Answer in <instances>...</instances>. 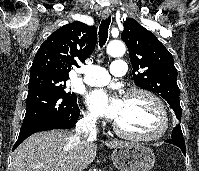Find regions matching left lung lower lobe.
I'll return each instance as SVG.
<instances>
[{"mask_svg": "<svg viewBox=\"0 0 199 171\" xmlns=\"http://www.w3.org/2000/svg\"><path fill=\"white\" fill-rule=\"evenodd\" d=\"M171 137L172 139L166 140L165 142L178 146L182 150V152L185 154L186 147H185L184 137H183L180 125H177L173 129Z\"/></svg>", "mask_w": 199, "mask_h": 171, "instance_id": "1", "label": "left lung lower lobe"}]
</instances>
